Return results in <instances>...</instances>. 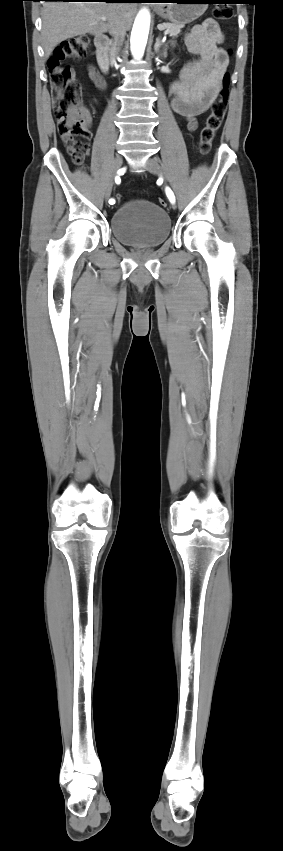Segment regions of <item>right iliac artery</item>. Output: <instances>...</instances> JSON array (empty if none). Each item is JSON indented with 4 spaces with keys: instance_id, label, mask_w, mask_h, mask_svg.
<instances>
[{
    "instance_id": "obj_1",
    "label": "right iliac artery",
    "mask_w": 283,
    "mask_h": 851,
    "mask_svg": "<svg viewBox=\"0 0 283 851\" xmlns=\"http://www.w3.org/2000/svg\"><path fill=\"white\" fill-rule=\"evenodd\" d=\"M116 184H117V186H120V185H121V181H120V177H119V176H116ZM114 203H115V200H114V199H110V200H109V204H114Z\"/></svg>"
}]
</instances>
